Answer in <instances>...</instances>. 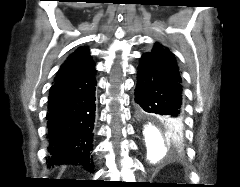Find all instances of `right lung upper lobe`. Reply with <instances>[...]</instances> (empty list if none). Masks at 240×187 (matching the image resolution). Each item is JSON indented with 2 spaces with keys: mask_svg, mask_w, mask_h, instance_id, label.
Masks as SVG:
<instances>
[{
  "mask_svg": "<svg viewBox=\"0 0 240 187\" xmlns=\"http://www.w3.org/2000/svg\"><path fill=\"white\" fill-rule=\"evenodd\" d=\"M93 64L89 50L85 47H80L72 53L60 67L55 81Z\"/></svg>",
  "mask_w": 240,
  "mask_h": 187,
  "instance_id": "1",
  "label": "right lung upper lobe"
}]
</instances>
